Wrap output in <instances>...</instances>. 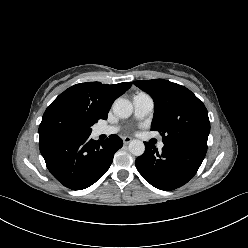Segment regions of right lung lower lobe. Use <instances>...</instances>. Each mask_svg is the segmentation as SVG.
Segmentation results:
<instances>
[{
    "instance_id": "98d812e1",
    "label": "right lung lower lobe",
    "mask_w": 248,
    "mask_h": 248,
    "mask_svg": "<svg viewBox=\"0 0 248 248\" xmlns=\"http://www.w3.org/2000/svg\"><path fill=\"white\" fill-rule=\"evenodd\" d=\"M122 145L117 135L95 141L90 135L48 134L40 136L39 141L48 170L72 190L85 189L101 178Z\"/></svg>"
}]
</instances>
